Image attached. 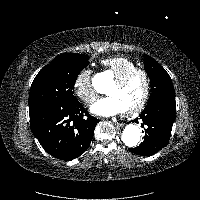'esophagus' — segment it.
Listing matches in <instances>:
<instances>
[{"mask_svg":"<svg viewBox=\"0 0 200 200\" xmlns=\"http://www.w3.org/2000/svg\"><path fill=\"white\" fill-rule=\"evenodd\" d=\"M114 125H115L116 127H118V128L124 126V124H123V123H120V122H115Z\"/></svg>","mask_w":200,"mask_h":200,"instance_id":"obj_1","label":"esophagus"}]
</instances>
